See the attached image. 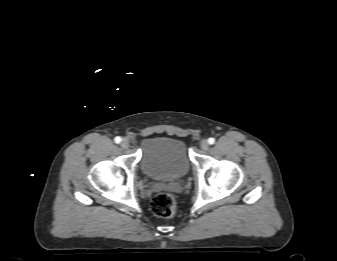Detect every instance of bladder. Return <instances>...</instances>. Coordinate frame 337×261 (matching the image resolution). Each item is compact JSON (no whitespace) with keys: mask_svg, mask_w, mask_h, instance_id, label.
Returning a JSON list of instances; mask_svg holds the SVG:
<instances>
[{"mask_svg":"<svg viewBox=\"0 0 337 261\" xmlns=\"http://www.w3.org/2000/svg\"><path fill=\"white\" fill-rule=\"evenodd\" d=\"M143 173L158 181H175L184 177L190 168L185 144L166 136L148 137L141 144Z\"/></svg>","mask_w":337,"mask_h":261,"instance_id":"obj_1","label":"bladder"}]
</instances>
